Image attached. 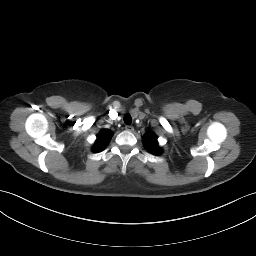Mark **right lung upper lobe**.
Returning <instances> with one entry per match:
<instances>
[{
  "label": "right lung upper lobe",
  "mask_w": 256,
  "mask_h": 256,
  "mask_svg": "<svg viewBox=\"0 0 256 256\" xmlns=\"http://www.w3.org/2000/svg\"><path fill=\"white\" fill-rule=\"evenodd\" d=\"M112 136V132L108 129L101 130L97 135V140L94 145V151L99 152L102 151L108 144L110 138Z\"/></svg>",
  "instance_id": "obj_1"
}]
</instances>
